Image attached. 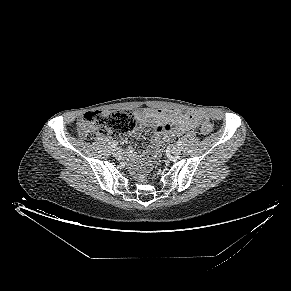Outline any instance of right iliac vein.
Listing matches in <instances>:
<instances>
[{
  "label": "right iliac vein",
  "mask_w": 291,
  "mask_h": 291,
  "mask_svg": "<svg viewBox=\"0 0 291 291\" xmlns=\"http://www.w3.org/2000/svg\"><path fill=\"white\" fill-rule=\"evenodd\" d=\"M121 154V150L119 148H116L113 150V155L119 156Z\"/></svg>",
  "instance_id": "63e3f726"
}]
</instances>
